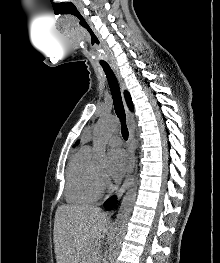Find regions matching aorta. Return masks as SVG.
Here are the masks:
<instances>
[{"label":"aorta","mask_w":220,"mask_h":263,"mask_svg":"<svg viewBox=\"0 0 220 263\" xmlns=\"http://www.w3.org/2000/svg\"><path fill=\"white\" fill-rule=\"evenodd\" d=\"M119 125L117 119L113 117H102L100 118L98 124L94 130V147L95 155L94 161L97 166L105 167L107 164V156L105 149V141L110 133H112ZM137 184L138 180L136 173L132 176L130 183L127 188V192L122 200L120 209L117 214L115 221V226L110 239L109 245V261L112 262L116 257L123 234L125 232L127 222L129 220L130 214L137 195Z\"/></svg>","instance_id":"aorta-1"}]
</instances>
